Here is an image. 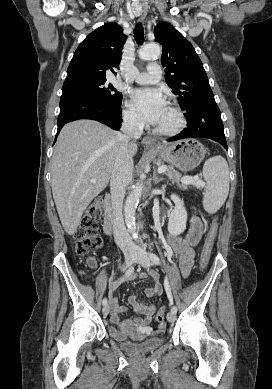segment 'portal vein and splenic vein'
<instances>
[{"instance_id": "obj_1", "label": "portal vein and splenic vein", "mask_w": 272, "mask_h": 389, "mask_svg": "<svg viewBox=\"0 0 272 389\" xmlns=\"http://www.w3.org/2000/svg\"><path fill=\"white\" fill-rule=\"evenodd\" d=\"M158 173H164L165 171H167V168L165 166H160L158 167ZM96 180H91V182H95ZM182 182L183 183H194L196 184L197 186H201V187H204L205 186V183L201 180H199V177L198 176H195V177H183L182 178Z\"/></svg>"}]
</instances>
